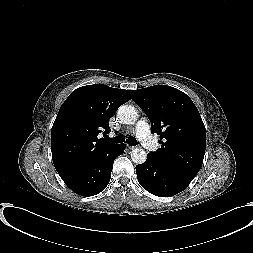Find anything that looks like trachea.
<instances>
[{"label":"trachea","instance_id":"trachea-1","mask_svg":"<svg viewBox=\"0 0 253 253\" xmlns=\"http://www.w3.org/2000/svg\"><path fill=\"white\" fill-rule=\"evenodd\" d=\"M106 140L110 141V142H114V143H122L125 141V138L123 135H118L116 137H113V138H109V137H106ZM126 142L132 146H135L137 145V141L134 139V138H128L126 140Z\"/></svg>","mask_w":253,"mask_h":253}]
</instances>
